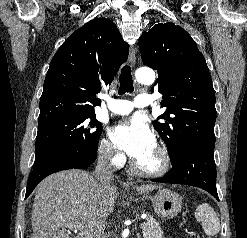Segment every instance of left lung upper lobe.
Instances as JSON below:
<instances>
[{"label": "left lung upper lobe", "instance_id": "obj_1", "mask_svg": "<svg viewBox=\"0 0 247 238\" xmlns=\"http://www.w3.org/2000/svg\"><path fill=\"white\" fill-rule=\"evenodd\" d=\"M142 61L156 69L152 92L163 95L164 114L153 126L172 161L184 146L214 152L215 92L202 53L192 37L173 23L156 24L139 38Z\"/></svg>", "mask_w": 247, "mask_h": 238}]
</instances>
